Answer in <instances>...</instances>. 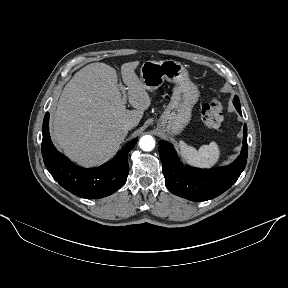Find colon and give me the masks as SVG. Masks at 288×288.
Listing matches in <instances>:
<instances>
[{"label":"colon","mask_w":288,"mask_h":288,"mask_svg":"<svg viewBox=\"0 0 288 288\" xmlns=\"http://www.w3.org/2000/svg\"><path fill=\"white\" fill-rule=\"evenodd\" d=\"M204 125L210 130H219L223 122V106L218 99H213L201 109Z\"/></svg>","instance_id":"colon-1"}]
</instances>
